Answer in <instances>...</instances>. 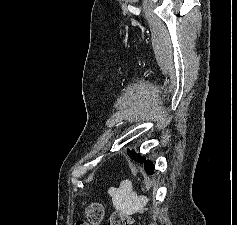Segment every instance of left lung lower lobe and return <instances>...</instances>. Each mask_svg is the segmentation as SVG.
Instances as JSON below:
<instances>
[{"instance_id": "0a47b994", "label": "left lung lower lobe", "mask_w": 237, "mask_h": 225, "mask_svg": "<svg viewBox=\"0 0 237 225\" xmlns=\"http://www.w3.org/2000/svg\"><path fill=\"white\" fill-rule=\"evenodd\" d=\"M128 155L135 161L144 164L145 171L152 175L154 173V165L152 161L146 160L145 157H142L140 154H135L134 151L127 150Z\"/></svg>"}]
</instances>
